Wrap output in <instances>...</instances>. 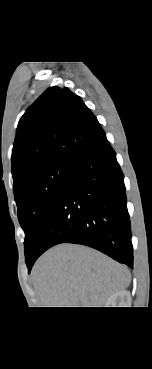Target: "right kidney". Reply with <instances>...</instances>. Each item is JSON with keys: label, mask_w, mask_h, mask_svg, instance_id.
Instances as JSON below:
<instances>
[{"label": "right kidney", "mask_w": 152, "mask_h": 369, "mask_svg": "<svg viewBox=\"0 0 152 369\" xmlns=\"http://www.w3.org/2000/svg\"><path fill=\"white\" fill-rule=\"evenodd\" d=\"M129 295V292L126 290L116 292L107 299L105 307H124L129 299Z\"/></svg>", "instance_id": "right-kidney-1"}]
</instances>
